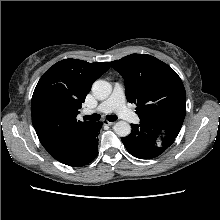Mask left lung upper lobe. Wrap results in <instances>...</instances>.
<instances>
[{
    "instance_id": "left-lung-upper-lobe-1",
    "label": "left lung upper lobe",
    "mask_w": 220,
    "mask_h": 220,
    "mask_svg": "<svg viewBox=\"0 0 220 220\" xmlns=\"http://www.w3.org/2000/svg\"><path fill=\"white\" fill-rule=\"evenodd\" d=\"M111 66L124 78L126 98L137 105L141 123H157L176 137L186 114V92L177 73L147 54H131Z\"/></svg>"
}]
</instances>
